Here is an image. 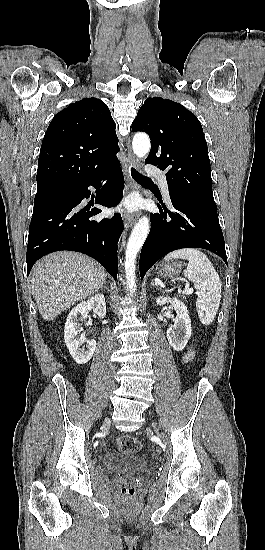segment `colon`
Returning a JSON list of instances; mask_svg holds the SVG:
<instances>
[{
    "label": "colon",
    "instance_id": "obj_1",
    "mask_svg": "<svg viewBox=\"0 0 265 550\" xmlns=\"http://www.w3.org/2000/svg\"><path fill=\"white\" fill-rule=\"evenodd\" d=\"M116 445L120 451L137 452L141 448L140 441L133 435H124L117 439ZM120 492L126 497H133L135 495V487L127 480L120 482Z\"/></svg>",
    "mask_w": 265,
    "mask_h": 550
}]
</instances>
